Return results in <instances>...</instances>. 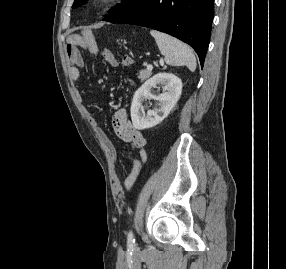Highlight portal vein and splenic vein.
<instances>
[{
	"instance_id": "18ae733b",
	"label": "portal vein and splenic vein",
	"mask_w": 286,
	"mask_h": 269,
	"mask_svg": "<svg viewBox=\"0 0 286 269\" xmlns=\"http://www.w3.org/2000/svg\"><path fill=\"white\" fill-rule=\"evenodd\" d=\"M152 69H153V66H152L151 64H148V65H147V70H150V71H151Z\"/></svg>"
}]
</instances>
